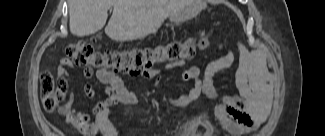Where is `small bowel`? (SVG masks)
<instances>
[{
  "instance_id": "small-bowel-1",
  "label": "small bowel",
  "mask_w": 325,
  "mask_h": 136,
  "mask_svg": "<svg viewBox=\"0 0 325 136\" xmlns=\"http://www.w3.org/2000/svg\"><path fill=\"white\" fill-rule=\"evenodd\" d=\"M208 42L209 37L206 43ZM217 47L225 53L206 65L203 76L197 66H192L185 71L174 72L180 81H192L194 86L188 93L177 97L163 93L164 100L170 106L184 108L203 95L213 96V75L230 68L236 60L235 51L230 46L220 42ZM236 49L238 67L235 72V85L238 95L225 97L221 105L216 108L215 116L221 126L229 132H248L265 121L270 108L271 95L267 84L266 57L264 52H251L240 42L237 43ZM179 65L181 62L169 63L166 68L172 69ZM72 68L73 65L64 59L58 67L56 75L60 95L69 98L64 109L68 122L87 136L98 133L104 136H120L119 131L109 119L110 106L116 103L136 104L140 99L139 94L127 89L123 80L113 72L98 69L94 73L92 69L86 68L84 70L85 79L95 76L100 83L108 85L110 89L107 91V98L97 103L91 113L79 111L73 104V92L69 91L72 89V84L69 83L68 71ZM144 78L153 81L156 89L160 88L161 78L157 76V70L146 72ZM85 89L89 96L94 95L90 85H86ZM91 115H94V121H90ZM227 116L235 119L236 122L229 120ZM210 126V120L204 119L201 122L200 130L206 131Z\"/></svg>"
}]
</instances>
